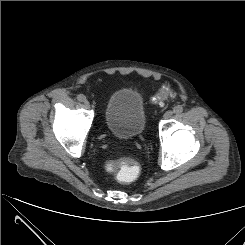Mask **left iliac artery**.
Masks as SVG:
<instances>
[{
  "instance_id": "44dca946",
  "label": "left iliac artery",
  "mask_w": 245,
  "mask_h": 245,
  "mask_svg": "<svg viewBox=\"0 0 245 245\" xmlns=\"http://www.w3.org/2000/svg\"><path fill=\"white\" fill-rule=\"evenodd\" d=\"M173 111H174V113H176V114H180V113L183 112V107L180 106V105H178V106L174 107Z\"/></svg>"
}]
</instances>
